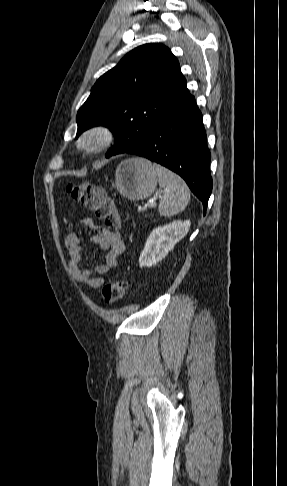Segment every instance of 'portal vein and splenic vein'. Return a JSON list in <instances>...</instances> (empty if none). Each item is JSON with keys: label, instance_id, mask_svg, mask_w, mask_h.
Listing matches in <instances>:
<instances>
[{"label": "portal vein and splenic vein", "instance_id": "obj_1", "mask_svg": "<svg viewBox=\"0 0 287 486\" xmlns=\"http://www.w3.org/2000/svg\"><path fill=\"white\" fill-rule=\"evenodd\" d=\"M155 205V201L154 200H150L148 201L145 205H144V208L146 207H151V206H154Z\"/></svg>", "mask_w": 287, "mask_h": 486}]
</instances>
